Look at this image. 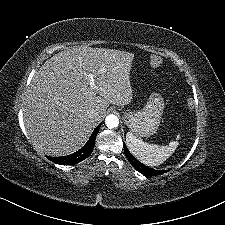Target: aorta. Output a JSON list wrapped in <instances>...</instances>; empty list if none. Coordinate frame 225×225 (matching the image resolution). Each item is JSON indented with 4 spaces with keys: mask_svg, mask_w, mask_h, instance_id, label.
I'll list each match as a JSON object with an SVG mask.
<instances>
[{
    "mask_svg": "<svg viewBox=\"0 0 225 225\" xmlns=\"http://www.w3.org/2000/svg\"><path fill=\"white\" fill-rule=\"evenodd\" d=\"M105 124L109 129L115 128L119 125V119L114 114H109L105 119Z\"/></svg>",
    "mask_w": 225,
    "mask_h": 225,
    "instance_id": "obj_1",
    "label": "aorta"
}]
</instances>
